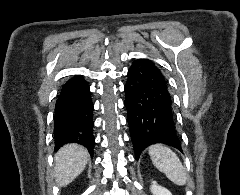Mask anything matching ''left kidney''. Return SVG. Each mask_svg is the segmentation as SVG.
Segmentation results:
<instances>
[{
    "label": "left kidney",
    "mask_w": 240,
    "mask_h": 195,
    "mask_svg": "<svg viewBox=\"0 0 240 195\" xmlns=\"http://www.w3.org/2000/svg\"><path fill=\"white\" fill-rule=\"evenodd\" d=\"M150 189L153 195H172L169 189H166V187H162V185H158L157 181H152Z\"/></svg>",
    "instance_id": "1"
}]
</instances>
